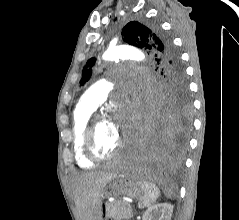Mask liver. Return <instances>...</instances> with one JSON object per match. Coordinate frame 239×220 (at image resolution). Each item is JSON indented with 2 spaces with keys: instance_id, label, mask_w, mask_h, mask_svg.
I'll return each instance as SVG.
<instances>
[{
  "instance_id": "obj_1",
  "label": "liver",
  "mask_w": 239,
  "mask_h": 220,
  "mask_svg": "<svg viewBox=\"0 0 239 220\" xmlns=\"http://www.w3.org/2000/svg\"><path fill=\"white\" fill-rule=\"evenodd\" d=\"M118 170L112 172H90L77 176L73 182L75 205L80 220H97L101 209V191L117 177Z\"/></svg>"
}]
</instances>
